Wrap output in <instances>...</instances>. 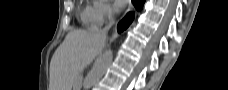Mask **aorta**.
I'll use <instances>...</instances> for the list:
<instances>
[{"mask_svg": "<svg viewBox=\"0 0 228 90\" xmlns=\"http://www.w3.org/2000/svg\"><path fill=\"white\" fill-rule=\"evenodd\" d=\"M112 60L113 54L111 50L106 51L100 58L97 59L92 70L84 80V90H90V88H92V86L99 81V79L105 74L109 65L112 63Z\"/></svg>", "mask_w": 228, "mask_h": 90, "instance_id": "1", "label": "aorta"}]
</instances>
